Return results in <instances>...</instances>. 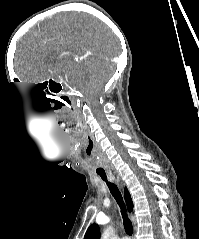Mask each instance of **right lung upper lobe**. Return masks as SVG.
Masks as SVG:
<instances>
[{"mask_svg": "<svg viewBox=\"0 0 199 239\" xmlns=\"http://www.w3.org/2000/svg\"><path fill=\"white\" fill-rule=\"evenodd\" d=\"M124 197H125V201L127 203V206H128V210L131 211L133 210V203H132V199H131V195L129 193V191L127 190V188L125 187V190H124ZM100 237V231H99V227L97 224H92L85 236H84V239H99Z\"/></svg>", "mask_w": 199, "mask_h": 239, "instance_id": "obj_1", "label": "right lung upper lobe"}]
</instances>
